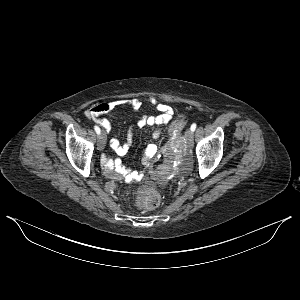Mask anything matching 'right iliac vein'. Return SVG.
<instances>
[{"label":"right iliac vein","instance_id":"obj_1","mask_svg":"<svg viewBox=\"0 0 300 300\" xmlns=\"http://www.w3.org/2000/svg\"><path fill=\"white\" fill-rule=\"evenodd\" d=\"M106 140H107V138H106L105 133L104 132L101 133V135L98 138V144H97L98 150L102 151L104 149Z\"/></svg>","mask_w":300,"mask_h":300}]
</instances>
